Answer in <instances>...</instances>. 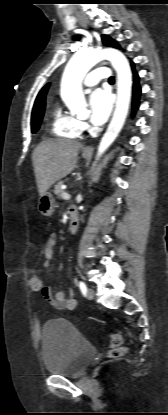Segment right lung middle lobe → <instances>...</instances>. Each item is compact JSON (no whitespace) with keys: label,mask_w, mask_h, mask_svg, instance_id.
Instances as JSON below:
<instances>
[{"label":"right lung middle lobe","mask_w":168,"mask_h":415,"mask_svg":"<svg viewBox=\"0 0 168 415\" xmlns=\"http://www.w3.org/2000/svg\"><path fill=\"white\" fill-rule=\"evenodd\" d=\"M43 114H44V108L32 112L31 129L33 133H35L39 129L42 118H43Z\"/></svg>","instance_id":"right-lung-middle-lobe-1"}]
</instances>
